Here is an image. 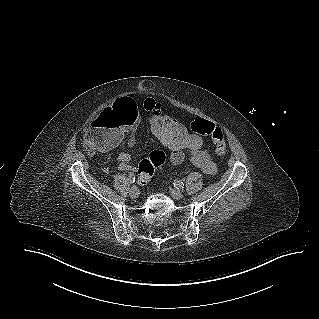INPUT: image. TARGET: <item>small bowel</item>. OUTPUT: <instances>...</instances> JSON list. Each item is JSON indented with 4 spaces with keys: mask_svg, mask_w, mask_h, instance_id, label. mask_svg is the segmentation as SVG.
Here are the masks:
<instances>
[{
    "mask_svg": "<svg viewBox=\"0 0 319 319\" xmlns=\"http://www.w3.org/2000/svg\"><path fill=\"white\" fill-rule=\"evenodd\" d=\"M138 107L139 104L135 96L124 97L119 101H113L112 108H103L101 114L97 117H91V125L88 127L85 135L88 146L96 152H107L116 148L128 133L127 146L129 148L134 147L138 130L136 127H132L129 130V127L137 126V117L140 116V109ZM142 108L150 116L154 113L163 112L160 103L151 98L143 102ZM174 121L181 124L176 120ZM192 123L193 121L188 122V129L192 131V135H204L194 129ZM155 138L159 140L158 137L155 136ZM159 142L170 150L169 161L172 165H178L184 161L185 153L167 146L160 140ZM189 158L195 167L207 175H212L217 170V164L208 149L204 148L200 152H190ZM118 159L121 170L132 171L136 169L130 163L131 156L128 152H120Z\"/></svg>",
    "mask_w": 319,
    "mask_h": 319,
    "instance_id": "1",
    "label": "small bowel"
}]
</instances>
